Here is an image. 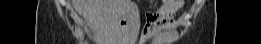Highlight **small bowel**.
Returning <instances> with one entry per match:
<instances>
[{"instance_id":"small-bowel-1","label":"small bowel","mask_w":261,"mask_h":44,"mask_svg":"<svg viewBox=\"0 0 261 44\" xmlns=\"http://www.w3.org/2000/svg\"><path fill=\"white\" fill-rule=\"evenodd\" d=\"M180 5L178 6H171L170 4L163 5L161 8H159L158 12L155 14V16L150 21L147 29L155 30V29H161L164 26L169 25L173 22V16L178 11Z\"/></svg>"}]
</instances>
